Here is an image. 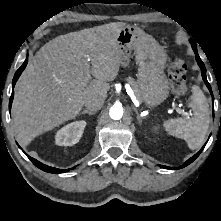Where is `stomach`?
Instances as JSON below:
<instances>
[{
  "label": "stomach",
  "mask_w": 221,
  "mask_h": 221,
  "mask_svg": "<svg viewBox=\"0 0 221 221\" xmlns=\"http://www.w3.org/2000/svg\"><path fill=\"white\" fill-rule=\"evenodd\" d=\"M117 44L120 63L127 66L132 52L139 66L137 73V96L141 102L153 108L169 95V86L163 68L167 60L164 49L141 28L134 25L123 27Z\"/></svg>",
  "instance_id": "stomach-1"
}]
</instances>
